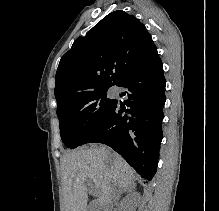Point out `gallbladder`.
Returning <instances> with one entry per match:
<instances>
[{
  "mask_svg": "<svg viewBox=\"0 0 219 211\" xmlns=\"http://www.w3.org/2000/svg\"><path fill=\"white\" fill-rule=\"evenodd\" d=\"M93 191H94V189H93ZM88 211H96V209H95V207H92V205H91V207H89Z\"/></svg>",
  "mask_w": 219,
  "mask_h": 211,
  "instance_id": "gallbladder-1",
  "label": "gallbladder"
}]
</instances>
